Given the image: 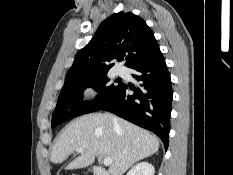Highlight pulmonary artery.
<instances>
[{
	"instance_id": "e3ab8cb5",
	"label": "pulmonary artery",
	"mask_w": 233,
	"mask_h": 175,
	"mask_svg": "<svg viewBox=\"0 0 233 175\" xmlns=\"http://www.w3.org/2000/svg\"><path fill=\"white\" fill-rule=\"evenodd\" d=\"M117 73H118L119 75H123V74L125 73V71H124V69L119 68V69L117 70Z\"/></svg>"
}]
</instances>
